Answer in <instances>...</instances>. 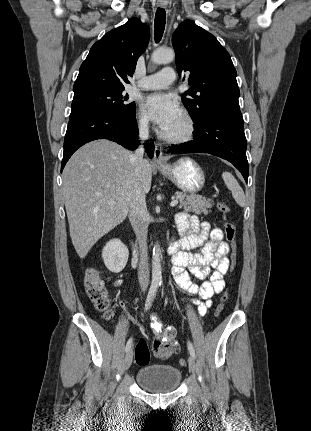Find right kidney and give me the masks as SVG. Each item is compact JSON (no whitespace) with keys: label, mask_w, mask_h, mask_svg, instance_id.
I'll use <instances>...</instances> for the list:
<instances>
[{"label":"right kidney","mask_w":311,"mask_h":431,"mask_svg":"<svg viewBox=\"0 0 311 431\" xmlns=\"http://www.w3.org/2000/svg\"><path fill=\"white\" fill-rule=\"evenodd\" d=\"M102 257L106 267L113 273H118L128 261L129 249L121 239H110L103 247Z\"/></svg>","instance_id":"obj_1"}]
</instances>
